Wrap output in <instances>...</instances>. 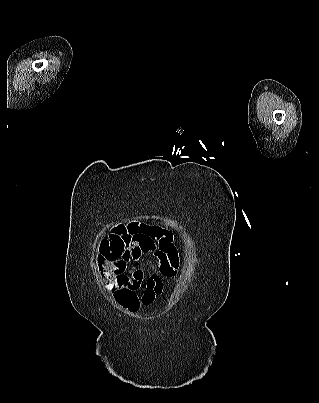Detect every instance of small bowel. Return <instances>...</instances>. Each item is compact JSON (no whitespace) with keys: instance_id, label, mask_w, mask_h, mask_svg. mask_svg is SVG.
<instances>
[{"instance_id":"1","label":"small bowel","mask_w":319,"mask_h":403,"mask_svg":"<svg viewBox=\"0 0 319 403\" xmlns=\"http://www.w3.org/2000/svg\"><path fill=\"white\" fill-rule=\"evenodd\" d=\"M120 222L108 229L100 241L97 268L99 276L109 283L117 305L128 313H135L160 295L161 277L174 275L182 263V256L168 232L126 223L124 218ZM142 254L155 259L158 275L145 278L137 263ZM143 285L144 293L140 297L137 292Z\"/></svg>"}]
</instances>
